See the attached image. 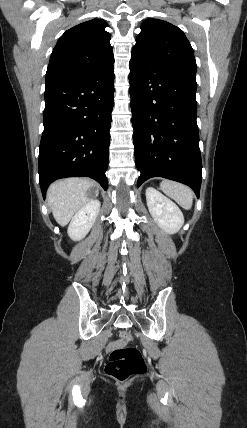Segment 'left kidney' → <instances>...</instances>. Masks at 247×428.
Listing matches in <instances>:
<instances>
[{
    "label": "left kidney",
    "instance_id": "left-kidney-1",
    "mask_svg": "<svg viewBox=\"0 0 247 428\" xmlns=\"http://www.w3.org/2000/svg\"><path fill=\"white\" fill-rule=\"evenodd\" d=\"M146 201L151 216L163 231L174 234L180 230L184 216L173 201L152 187L146 189Z\"/></svg>",
    "mask_w": 247,
    "mask_h": 428
}]
</instances>
